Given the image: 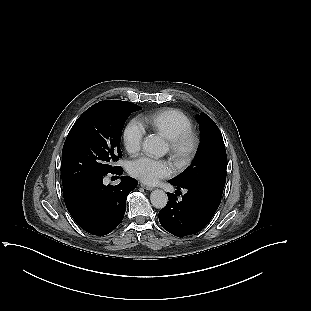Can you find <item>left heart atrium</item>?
I'll return each mask as SVG.
<instances>
[{
  "mask_svg": "<svg viewBox=\"0 0 311 311\" xmlns=\"http://www.w3.org/2000/svg\"><path fill=\"white\" fill-rule=\"evenodd\" d=\"M171 169L164 160L142 156L129 165V173L144 183L152 184L169 175Z\"/></svg>",
  "mask_w": 311,
  "mask_h": 311,
  "instance_id": "39dd6f15",
  "label": "left heart atrium"
}]
</instances>
